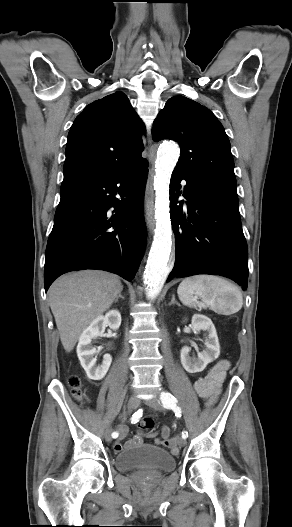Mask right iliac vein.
<instances>
[{
  "label": "right iliac vein",
  "instance_id": "1",
  "mask_svg": "<svg viewBox=\"0 0 292 527\" xmlns=\"http://www.w3.org/2000/svg\"><path fill=\"white\" fill-rule=\"evenodd\" d=\"M140 404V400L138 397H136L135 395L131 396L128 400V408L130 410H133V409H136ZM111 428L107 429L106 433H105V439L106 441L110 442L112 440L111 438Z\"/></svg>",
  "mask_w": 292,
  "mask_h": 527
}]
</instances>
